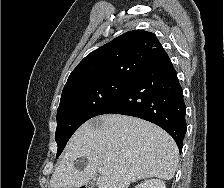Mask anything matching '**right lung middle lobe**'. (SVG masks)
<instances>
[{
  "instance_id": "1",
  "label": "right lung middle lobe",
  "mask_w": 224,
  "mask_h": 188,
  "mask_svg": "<svg viewBox=\"0 0 224 188\" xmlns=\"http://www.w3.org/2000/svg\"><path fill=\"white\" fill-rule=\"evenodd\" d=\"M132 79H104L63 89L57 110V157L69 138L85 121L98 116L131 85Z\"/></svg>"
}]
</instances>
